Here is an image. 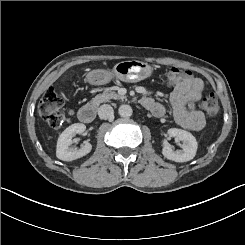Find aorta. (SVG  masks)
I'll use <instances>...</instances> for the list:
<instances>
[{"instance_id": "aorta-1", "label": "aorta", "mask_w": 245, "mask_h": 245, "mask_svg": "<svg viewBox=\"0 0 245 245\" xmlns=\"http://www.w3.org/2000/svg\"><path fill=\"white\" fill-rule=\"evenodd\" d=\"M118 113L121 117L128 118L132 115L133 110L130 105L123 104L119 107Z\"/></svg>"}]
</instances>
